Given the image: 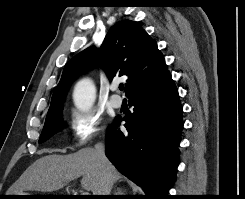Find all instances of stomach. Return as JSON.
I'll list each match as a JSON object with an SVG mask.
<instances>
[{
  "label": "stomach",
  "mask_w": 245,
  "mask_h": 199,
  "mask_svg": "<svg viewBox=\"0 0 245 199\" xmlns=\"http://www.w3.org/2000/svg\"><path fill=\"white\" fill-rule=\"evenodd\" d=\"M15 195V194H14ZM16 195H33V194H29V193H25V192H23V193H21V194H16ZM19 197V196H18ZM20 197H25V196H20Z\"/></svg>",
  "instance_id": "stomach-1"
}]
</instances>
